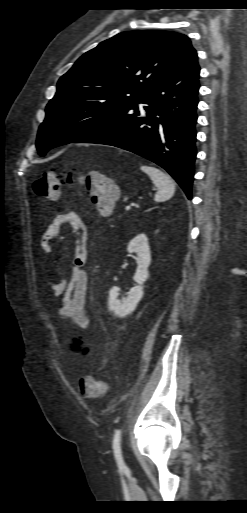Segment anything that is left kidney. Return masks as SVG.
Instances as JSON below:
<instances>
[{"instance_id": "1", "label": "left kidney", "mask_w": 247, "mask_h": 513, "mask_svg": "<svg viewBox=\"0 0 247 513\" xmlns=\"http://www.w3.org/2000/svg\"><path fill=\"white\" fill-rule=\"evenodd\" d=\"M128 252L137 254V269L133 280L138 284L130 289L127 297L118 299L120 288L113 287L109 291L108 306L117 317H125L132 313L143 296V284L148 278V267L151 263V252L148 238L145 234H138L127 247Z\"/></svg>"}]
</instances>
